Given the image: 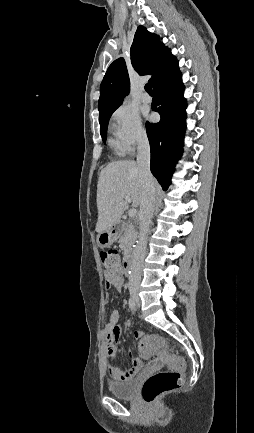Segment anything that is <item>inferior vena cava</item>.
I'll list each match as a JSON object with an SVG mask.
<instances>
[{"label":"inferior vena cava","instance_id":"1","mask_svg":"<svg viewBox=\"0 0 254 433\" xmlns=\"http://www.w3.org/2000/svg\"><path fill=\"white\" fill-rule=\"evenodd\" d=\"M137 166L143 180V197L139 213L140 242L134 252L130 266V289L138 288L140 285L142 267L146 255L147 235L150 232L149 224L155 205V182L150 172V145L146 135L138 139Z\"/></svg>","mask_w":254,"mask_h":433}]
</instances>
